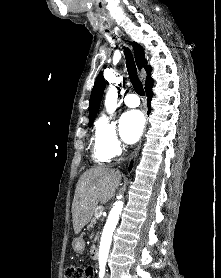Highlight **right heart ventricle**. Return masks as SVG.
<instances>
[{
  "instance_id": "obj_1",
  "label": "right heart ventricle",
  "mask_w": 221,
  "mask_h": 278,
  "mask_svg": "<svg viewBox=\"0 0 221 278\" xmlns=\"http://www.w3.org/2000/svg\"><path fill=\"white\" fill-rule=\"evenodd\" d=\"M109 156L100 148L95 141L93 148V160L99 164H103L109 161Z\"/></svg>"
}]
</instances>
